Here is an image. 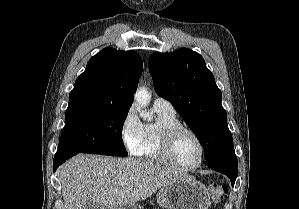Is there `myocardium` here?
<instances>
[{"mask_svg":"<svg viewBox=\"0 0 299 209\" xmlns=\"http://www.w3.org/2000/svg\"><path fill=\"white\" fill-rule=\"evenodd\" d=\"M183 133H188L195 138L200 146V159L197 164L192 166H185L177 162L174 157V147L176 139ZM160 153L164 162L176 169L183 171H192L201 167L205 160L206 148L201 137L192 129L177 125L163 129L160 132Z\"/></svg>","mask_w":299,"mask_h":209,"instance_id":"obj_1","label":"myocardium"}]
</instances>
